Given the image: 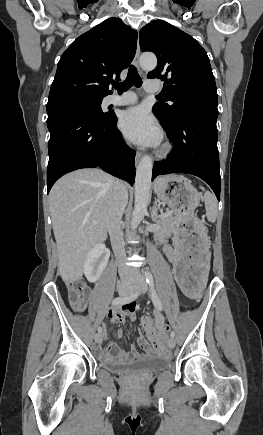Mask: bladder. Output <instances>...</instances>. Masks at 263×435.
<instances>
[{
	"mask_svg": "<svg viewBox=\"0 0 263 435\" xmlns=\"http://www.w3.org/2000/svg\"><path fill=\"white\" fill-rule=\"evenodd\" d=\"M169 358L162 355H152L130 362H103L102 366L114 373H155L164 370L169 365Z\"/></svg>",
	"mask_w": 263,
	"mask_h": 435,
	"instance_id": "31cf9c89",
	"label": "bladder"
}]
</instances>
